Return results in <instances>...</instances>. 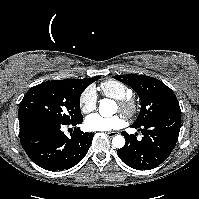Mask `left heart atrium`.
<instances>
[{
    "instance_id": "39dd6f15",
    "label": "left heart atrium",
    "mask_w": 199,
    "mask_h": 199,
    "mask_svg": "<svg viewBox=\"0 0 199 199\" xmlns=\"http://www.w3.org/2000/svg\"><path fill=\"white\" fill-rule=\"evenodd\" d=\"M124 123L121 116L115 115L104 117L98 113L92 114L86 118V127L91 131H109L120 128Z\"/></svg>"
}]
</instances>
